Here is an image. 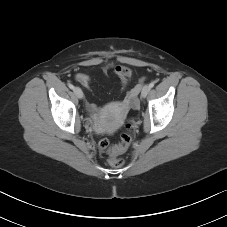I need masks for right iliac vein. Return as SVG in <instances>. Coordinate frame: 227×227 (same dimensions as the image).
Here are the masks:
<instances>
[{"instance_id": "1", "label": "right iliac vein", "mask_w": 227, "mask_h": 227, "mask_svg": "<svg viewBox=\"0 0 227 227\" xmlns=\"http://www.w3.org/2000/svg\"><path fill=\"white\" fill-rule=\"evenodd\" d=\"M74 93L79 99L83 98V91L79 87L74 88Z\"/></svg>"}]
</instances>
